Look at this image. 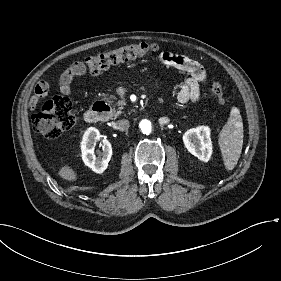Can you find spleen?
Segmentation results:
<instances>
[{
    "instance_id": "3e777b00",
    "label": "spleen",
    "mask_w": 281,
    "mask_h": 281,
    "mask_svg": "<svg viewBox=\"0 0 281 281\" xmlns=\"http://www.w3.org/2000/svg\"><path fill=\"white\" fill-rule=\"evenodd\" d=\"M243 121L236 106L230 108L229 117L218 136V146L224 167L232 171L240 158L243 146Z\"/></svg>"
}]
</instances>
